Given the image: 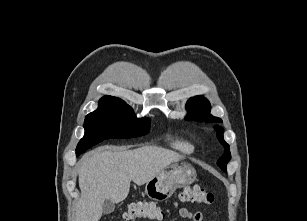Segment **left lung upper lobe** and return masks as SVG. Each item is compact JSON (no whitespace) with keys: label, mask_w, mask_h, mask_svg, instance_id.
Masks as SVG:
<instances>
[{"label":"left lung upper lobe","mask_w":307,"mask_h":221,"mask_svg":"<svg viewBox=\"0 0 307 221\" xmlns=\"http://www.w3.org/2000/svg\"><path fill=\"white\" fill-rule=\"evenodd\" d=\"M186 108L188 110V115L185 118L188 120L222 122L220 118L214 117L210 114V103L203 96H195L194 98L189 99ZM216 131L218 132L219 141L225 148L223 156L217 161V165L226 172V165L231 159L230 148L223 139V129L220 126H216Z\"/></svg>","instance_id":"5c2ea615"}]
</instances>
